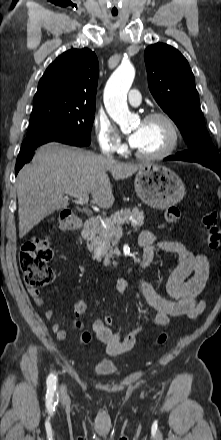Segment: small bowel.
<instances>
[{
	"instance_id": "small-bowel-1",
	"label": "small bowel",
	"mask_w": 221,
	"mask_h": 440,
	"mask_svg": "<svg viewBox=\"0 0 221 440\" xmlns=\"http://www.w3.org/2000/svg\"><path fill=\"white\" fill-rule=\"evenodd\" d=\"M139 245L143 248L142 262H151L156 250L178 256L179 264L171 273L166 285L169 298L160 295L150 283L139 277L131 280L119 278L115 285L117 292L121 295H129L133 291L137 292L154 310L150 320V324L153 326L168 327L171 317L176 316L197 319L205 308V301L198 300V295L206 286L209 277L207 258L202 254L189 251L177 241H156L154 235L149 231L141 232ZM27 291L37 307L45 306V300L40 296L37 288L27 285ZM44 317L50 320L53 317V311L46 309ZM102 319H97L93 323V331L95 338L104 343L107 353L112 356L132 349L145 329V326H140L126 334L114 332L106 328ZM51 329L57 340L64 341L67 338V330L61 328L58 323H53Z\"/></svg>"
}]
</instances>
